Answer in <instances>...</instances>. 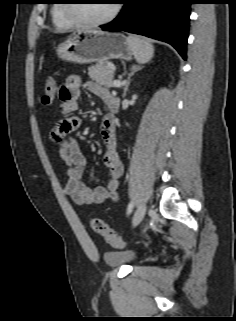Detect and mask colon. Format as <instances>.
I'll list each match as a JSON object with an SVG mask.
<instances>
[{
	"instance_id": "1",
	"label": "colon",
	"mask_w": 236,
	"mask_h": 321,
	"mask_svg": "<svg viewBox=\"0 0 236 321\" xmlns=\"http://www.w3.org/2000/svg\"><path fill=\"white\" fill-rule=\"evenodd\" d=\"M57 95V84L53 79H48L45 83L42 102L45 105H50L54 102ZM90 227L99 236H101L107 243L115 248H123L125 246L124 240L103 220L93 218L90 220Z\"/></svg>"
}]
</instances>
